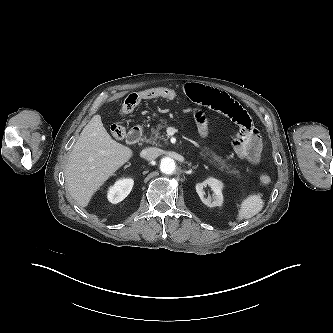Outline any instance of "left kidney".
Segmentation results:
<instances>
[{
	"label": "left kidney",
	"mask_w": 333,
	"mask_h": 333,
	"mask_svg": "<svg viewBox=\"0 0 333 333\" xmlns=\"http://www.w3.org/2000/svg\"><path fill=\"white\" fill-rule=\"evenodd\" d=\"M210 186L214 192L213 197H205L204 187ZM223 183L213 177L207 178L202 183L196 184V192L198 193L201 201L208 207L221 206L223 203V194H222Z\"/></svg>",
	"instance_id": "5707ae66"
}]
</instances>
